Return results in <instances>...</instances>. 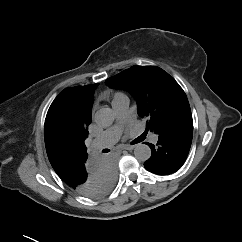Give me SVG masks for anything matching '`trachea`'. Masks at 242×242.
<instances>
[{
	"label": "trachea",
	"instance_id": "trachea-1",
	"mask_svg": "<svg viewBox=\"0 0 242 242\" xmlns=\"http://www.w3.org/2000/svg\"><path fill=\"white\" fill-rule=\"evenodd\" d=\"M103 152H109V150L108 149H104Z\"/></svg>",
	"mask_w": 242,
	"mask_h": 242
}]
</instances>
